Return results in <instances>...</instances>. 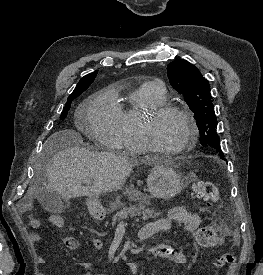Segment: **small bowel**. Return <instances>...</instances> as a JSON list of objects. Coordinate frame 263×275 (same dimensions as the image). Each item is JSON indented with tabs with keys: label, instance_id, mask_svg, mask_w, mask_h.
<instances>
[{
	"label": "small bowel",
	"instance_id": "small-bowel-1",
	"mask_svg": "<svg viewBox=\"0 0 263 275\" xmlns=\"http://www.w3.org/2000/svg\"><path fill=\"white\" fill-rule=\"evenodd\" d=\"M57 216V215H56ZM53 217H51V222L56 227H62L64 225V221L62 217H60V222L55 224L53 222ZM204 217L200 212H193L184 207H175L169 209L161 218L146 224L139 233V236L142 240L148 239L156 234H163L168 232L174 223L183 227L185 231L195 236L196 242L198 245V233L201 230L200 225L203 222ZM30 225L33 228H38L40 226V221L37 219H32L30 221ZM32 239L34 242H39L41 237L39 234L34 233L32 235ZM91 245L96 251H100L104 244L103 241L99 238H92L90 240ZM63 244L66 248L76 251L80 248L79 241L72 236H66L63 238ZM201 246V245H200ZM152 254L161 259H167L172 261L175 265H177L178 270L174 272L172 275H179L180 270L188 263V257L185 255L182 249H174L172 246L168 244H158L150 249ZM193 260V258L191 259ZM37 262L40 264L45 263L44 258L42 256L37 257ZM84 270L80 273V275H107L98 273L93 265L90 262L82 261L79 263ZM133 273H136V269H132ZM38 275H44L39 273Z\"/></svg>",
	"mask_w": 263,
	"mask_h": 275
}]
</instances>
